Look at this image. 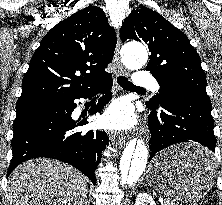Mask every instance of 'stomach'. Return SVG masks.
<instances>
[{"instance_id":"obj_1","label":"stomach","mask_w":222,"mask_h":205,"mask_svg":"<svg viewBox=\"0 0 222 205\" xmlns=\"http://www.w3.org/2000/svg\"><path fill=\"white\" fill-rule=\"evenodd\" d=\"M205 151L199 145L187 144L160 152L148 167L149 186L185 203L202 199L213 186L215 170L212 164L201 165L190 161V157Z\"/></svg>"}]
</instances>
